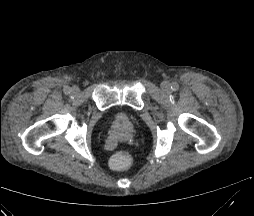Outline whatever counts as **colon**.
<instances>
[{
    "instance_id": "5ec220e1",
    "label": "colon",
    "mask_w": 254,
    "mask_h": 216,
    "mask_svg": "<svg viewBox=\"0 0 254 216\" xmlns=\"http://www.w3.org/2000/svg\"><path fill=\"white\" fill-rule=\"evenodd\" d=\"M131 157L127 150H122L114 154L109 159V166L111 169L116 171H123L131 165Z\"/></svg>"
}]
</instances>
